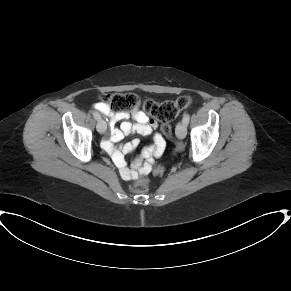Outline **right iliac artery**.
Returning a JSON list of instances; mask_svg holds the SVG:
<instances>
[{
	"label": "right iliac artery",
	"mask_w": 291,
	"mask_h": 291,
	"mask_svg": "<svg viewBox=\"0 0 291 291\" xmlns=\"http://www.w3.org/2000/svg\"><path fill=\"white\" fill-rule=\"evenodd\" d=\"M93 116H94V118L96 119V120H100L101 119V115L98 113V112H93Z\"/></svg>",
	"instance_id": "1"
}]
</instances>
